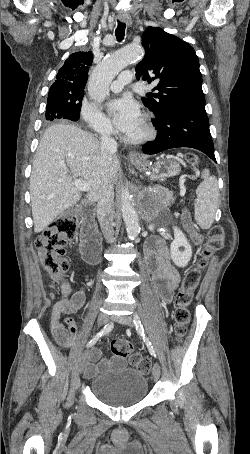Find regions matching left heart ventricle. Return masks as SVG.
Instances as JSON below:
<instances>
[{
    "instance_id": "b2bd125f",
    "label": "left heart ventricle",
    "mask_w": 250,
    "mask_h": 454,
    "mask_svg": "<svg viewBox=\"0 0 250 454\" xmlns=\"http://www.w3.org/2000/svg\"><path fill=\"white\" fill-rule=\"evenodd\" d=\"M142 133H143V126H142V122L140 119L138 124L134 128H132L130 131L125 133V135H127L129 137H137V136H140Z\"/></svg>"
}]
</instances>
